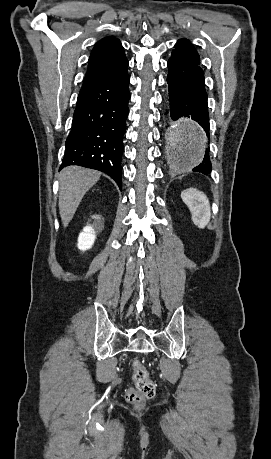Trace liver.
Listing matches in <instances>:
<instances>
[{
  "instance_id": "obj_1",
  "label": "liver",
  "mask_w": 271,
  "mask_h": 459,
  "mask_svg": "<svg viewBox=\"0 0 271 459\" xmlns=\"http://www.w3.org/2000/svg\"><path fill=\"white\" fill-rule=\"evenodd\" d=\"M101 174L80 166H68L60 174L59 212L64 228L71 222L83 196L98 182Z\"/></svg>"
}]
</instances>
